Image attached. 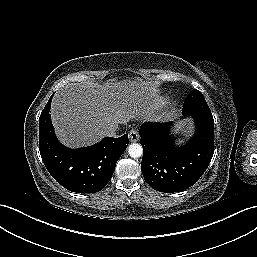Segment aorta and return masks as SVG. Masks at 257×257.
I'll return each mask as SVG.
<instances>
[{"label": "aorta", "instance_id": "762f6f07", "mask_svg": "<svg viewBox=\"0 0 257 257\" xmlns=\"http://www.w3.org/2000/svg\"><path fill=\"white\" fill-rule=\"evenodd\" d=\"M128 153L132 158H139L143 154V148L138 143H133L128 147Z\"/></svg>", "mask_w": 257, "mask_h": 257}]
</instances>
